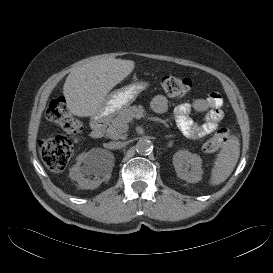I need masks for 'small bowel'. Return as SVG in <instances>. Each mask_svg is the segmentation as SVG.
Segmentation results:
<instances>
[{
    "instance_id": "1",
    "label": "small bowel",
    "mask_w": 273,
    "mask_h": 273,
    "mask_svg": "<svg viewBox=\"0 0 273 273\" xmlns=\"http://www.w3.org/2000/svg\"><path fill=\"white\" fill-rule=\"evenodd\" d=\"M223 98L217 92H211L205 97L197 98L191 104L179 105L174 111V120L182 132L190 138L200 139L214 132L224 118L222 111ZM150 107L157 113L165 112L168 101L162 95L155 96ZM192 110L206 112L204 120L200 123L194 122L189 114Z\"/></svg>"
}]
</instances>
